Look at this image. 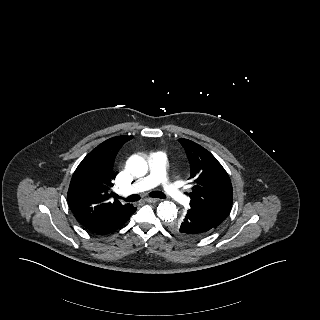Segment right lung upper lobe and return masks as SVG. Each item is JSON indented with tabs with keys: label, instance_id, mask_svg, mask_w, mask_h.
<instances>
[{
	"label": "right lung upper lobe",
	"instance_id": "obj_1",
	"mask_svg": "<svg viewBox=\"0 0 320 320\" xmlns=\"http://www.w3.org/2000/svg\"><path fill=\"white\" fill-rule=\"evenodd\" d=\"M132 136H116L94 148L75 170L69 190L68 203L81 225L92 223L126 209L130 204L111 200L113 193V162L119 149Z\"/></svg>",
	"mask_w": 320,
	"mask_h": 320
}]
</instances>
